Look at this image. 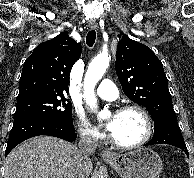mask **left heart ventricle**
Instances as JSON below:
<instances>
[{
    "label": "left heart ventricle",
    "instance_id": "b2bd125f",
    "mask_svg": "<svg viewBox=\"0 0 194 178\" xmlns=\"http://www.w3.org/2000/svg\"><path fill=\"white\" fill-rule=\"evenodd\" d=\"M114 121L113 137L123 144L138 142L145 134V122L142 116L134 111L115 114L109 118Z\"/></svg>",
    "mask_w": 194,
    "mask_h": 178
}]
</instances>
